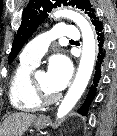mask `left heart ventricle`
Wrapping results in <instances>:
<instances>
[{
    "instance_id": "b2bd125f",
    "label": "left heart ventricle",
    "mask_w": 117,
    "mask_h": 136,
    "mask_svg": "<svg viewBox=\"0 0 117 136\" xmlns=\"http://www.w3.org/2000/svg\"><path fill=\"white\" fill-rule=\"evenodd\" d=\"M36 81L38 86L43 90L46 95L52 96L57 92L49 85L47 73L40 71L36 74Z\"/></svg>"
}]
</instances>
